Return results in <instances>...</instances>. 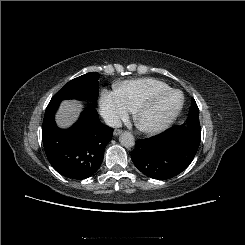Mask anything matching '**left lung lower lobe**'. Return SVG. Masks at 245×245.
I'll use <instances>...</instances> for the list:
<instances>
[{
  "label": "left lung lower lobe",
  "mask_w": 245,
  "mask_h": 245,
  "mask_svg": "<svg viewBox=\"0 0 245 245\" xmlns=\"http://www.w3.org/2000/svg\"><path fill=\"white\" fill-rule=\"evenodd\" d=\"M201 140V132L180 126L154 137L139 139L131 152L135 166L146 176L164 180L172 178L192 162Z\"/></svg>",
  "instance_id": "1"
}]
</instances>
